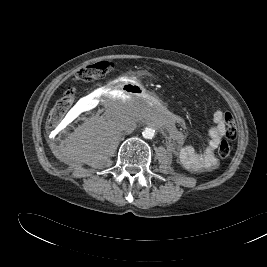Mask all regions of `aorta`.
I'll return each instance as SVG.
<instances>
[{"label":"aorta","mask_w":267,"mask_h":267,"mask_svg":"<svg viewBox=\"0 0 267 267\" xmlns=\"http://www.w3.org/2000/svg\"><path fill=\"white\" fill-rule=\"evenodd\" d=\"M155 135V130L152 128H145L143 131V137L146 139H152Z\"/></svg>","instance_id":"762f6f07"}]
</instances>
